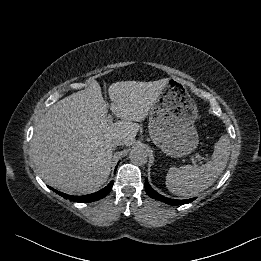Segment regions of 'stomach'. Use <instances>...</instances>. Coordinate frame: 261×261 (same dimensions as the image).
I'll use <instances>...</instances> for the list:
<instances>
[{"label":"stomach","mask_w":261,"mask_h":261,"mask_svg":"<svg viewBox=\"0 0 261 261\" xmlns=\"http://www.w3.org/2000/svg\"><path fill=\"white\" fill-rule=\"evenodd\" d=\"M149 112V135L153 143L171 157L190 154L198 145L195 128L198 108L186 83L170 77Z\"/></svg>","instance_id":"obj_1"}]
</instances>
